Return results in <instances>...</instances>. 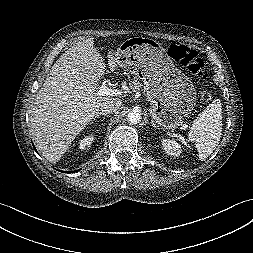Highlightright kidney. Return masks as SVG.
Listing matches in <instances>:
<instances>
[{"instance_id": "1", "label": "right kidney", "mask_w": 253, "mask_h": 253, "mask_svg": "<svg viewBox=\"0 0 253 253\" xmlns=\"http://www.w3.org/2000/svg\"><path fill=\"white\" fill-rule=\"evenodd\" d=\"M93 141H94V135L90 134V135L84 136L82 139L79 140V149L81 150L89 149Z\"/></svg>"}]
</instances>
